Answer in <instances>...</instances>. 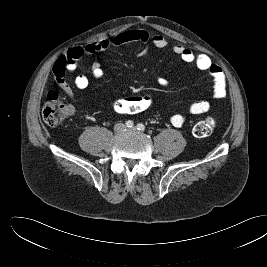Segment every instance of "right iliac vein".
Returning <instances> with one entry per match:
<instances>
[{
  "label": "right iliac vein",
  "instance_id": "right-iliac-vein-1",
  "mask_svg": "<svg viewBox=\"0 0 267 267\" xmlns=\"http://www.w3.org/2000/svg\"><path fill=\"white\" fill-rule=\"evenodd\" d=\"M125 129V125L122 124V123H117L115 126H114V130L116 132H120V131H123Z\"/></svg>",
  "mask_w": 267,
  "mask_h": 267
}]
</instances>
